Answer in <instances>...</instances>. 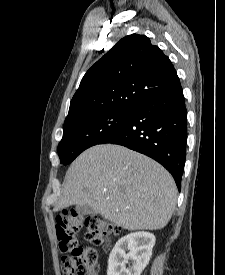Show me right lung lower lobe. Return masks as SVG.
Here are the masks:
<instances>
[{"mask_svg":"<svg viewBox=\"0 0 225 275\" xmlns=\"http://www.w3.org/2000/svg\"><path fill=\"white\" fill-rule=\"evenodd\" d=\"M186 142L187 111L180 85L139 103L99 144H119L153 158L172 174L180 190Z\"/></svg>","mask_w":225,"mask_h":275,"instance_id":"right-lung-lower-lobe-1","label":"right lung lower lobe"}]
</instances>
